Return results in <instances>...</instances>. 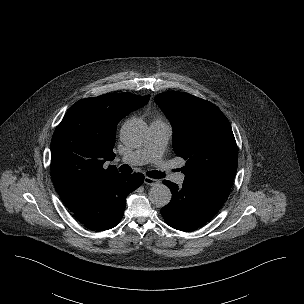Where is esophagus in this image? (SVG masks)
<instances>
[{"instance_id":"obj_1","label":"esophagus","mask_w":304,"mask_h":304,"mask_svg":"<svg viewBox=\"0 0 304 304\" xmlns=\"http://www.w3.org/2000/svg\"><path fill=\"white\" fill-rule=\"evenodd\" d=\"M144 183L147 184V185H150V186H154L156 184L159 183V180L157 179H153V178H150V177H145L144 178Z\"/></svg>"}]
</instances>
